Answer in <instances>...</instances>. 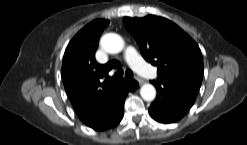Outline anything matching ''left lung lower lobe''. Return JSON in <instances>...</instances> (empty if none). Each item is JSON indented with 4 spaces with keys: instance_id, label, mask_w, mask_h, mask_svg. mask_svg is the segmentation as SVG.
I'll list each match as a JSON object with an SVG mask.
<instances>
[{
    "instance_id": "obj_1",
    "label": "left lung lower lobe",
    "mask_w": 247,
    "mask_h": 145,
    "mask_svg": "<svg viewBox=\"0 0 247 145\" xmlns=\"http://www.w3.org/2000/svg\"><path fill=\"white\" fill-rule=\"evenodd\" d=\"M152 84L158 93L149 107V113L158 122L173 123L180 120L195 102L197 94L171 82L157 79Z\"/></svg>"
}]
</instances>
